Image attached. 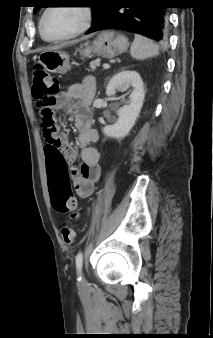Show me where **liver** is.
Listing matches in <instances>:
<instances>
[{
    "label": "liver",
    "mask_w": 213,
    "mask_h": 338,
    "mask_svg": "<svg viewBox=\"0 0 213 338\" xmlns=\"http://www.w3.org/2000/svg\"><path fill=\"white\" fill-rule=\"evenodd\" d=\"M58 48H59V46H55V47L49 48L48 50H56V49H58Z\"/></svg>",
    "instance_id": "1"
}]
</instances>
